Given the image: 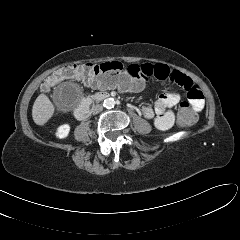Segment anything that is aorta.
<instances>
[{"label":"aorta","mask_w":240,"mask_h":240,"mask_svg":"<svg viewBox=\"0 0 240 240\" xmlns=\"http://www.w3.org/2000/svg\"><path fill=\"white\" fill-rule=\"evenodd\" d=\"M115 105V100L114 98H106L104 101H103V106L107 109H110V108H113Z\"/></svg>","instance_id":"aorta-1"}]
</instances>
